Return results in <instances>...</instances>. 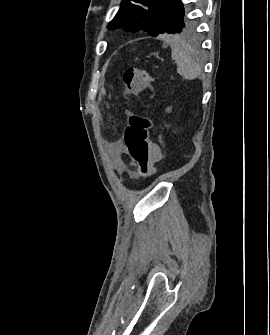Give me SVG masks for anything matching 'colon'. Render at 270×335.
<instances>
[{"label":"colon","instance_id":"colon-1","mask_svg":"<svg viewBox=\"0 0 270 335\" xmlns=\"http://www.w3.org/2000/svg\"><path fill=\"white\" fill-rule=\"evenodd\" d=\"M124 89L132 94L143 93L149 85L150 77L144 68H127L122 74ZM154 121L141 113H132L124 129L123 139L130 157L137 164L140 179L147 178L154 169L155 163H162V149L156 148V141H149V131Z\"/></svg>","mask_w":270,"mask_h":335}]
</instances>
